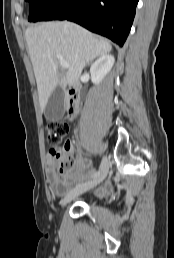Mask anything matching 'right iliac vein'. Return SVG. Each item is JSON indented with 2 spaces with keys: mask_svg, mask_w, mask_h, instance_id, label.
Returning <instances> with one entry per match:
<instances>
[{
  "mask_svg": "<svg viewBox=\"0 0 174 258\" xmlns=\"http://www.w3.org/2000/svg\"><path fill=\"white\" fill-rule=\"evenodd\" d=\"M108 169H109V163H108L107 157L105 156L103 158L102 162H101L100 169H99V174L97 175V177H95L91 181H88L86 183L77 185L76 187L71 189L68 192V194L62 199L61 206L65 207L75 197H77L78 195L88 191L89 189L93 188L94 186H96L97 184L102 182L104 180V178L106 177L107 173H108Z\"/></svg>",
  "mask_w": 174,
  "mask_h": 258,
  "instance_id": "right-iliac-vein-1",
  "label": "right iliac vein"
}]
</instances>
